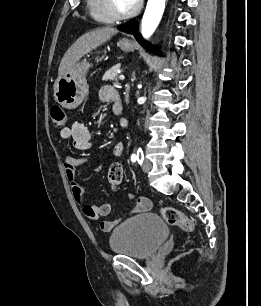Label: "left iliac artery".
Segmentation results:
<instances>
[{
    "label": "left iliac artery",
    "mask_w": 261,
    "mask_h": 306,
    "mask_svg": "<svg viewBox=\"0 0 261 306\" xmlns=\"http://www.w3.org/2000/svg\"><path fill=\"white\" fill-rule=\"evenodd\" d=\"M143 159H144V155H143V151L141 148H139L137 150L136 154H132L131 156V160L132 162H138L140 165L143 163Z\"/></svg>",
    "instance_id": "44dca946"
}]
</instances>
